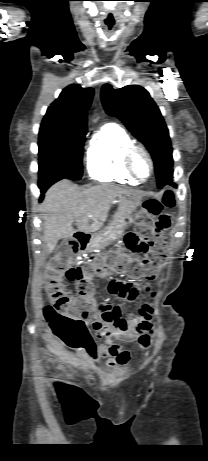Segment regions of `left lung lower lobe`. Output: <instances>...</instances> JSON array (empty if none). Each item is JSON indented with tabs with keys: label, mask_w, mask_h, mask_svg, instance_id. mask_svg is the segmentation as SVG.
Segmentation results:
<instances>
[{
	"label": "left lung lower lobe",
	"mask_w": 208,
	"mask_h": 461,
	"mask_svg": "<svg viewBox=\"0 0 208 461\" xmlns=\"http://www.w3.org/2000/svg\"><path fill=\"white\" fill-rule=\"evenodd\" d=\"M170 182H171V181H170ZM170 182H167L166 184H168V183H170ZM166 184H165V185H166ZM171 185L176 186L175 184H171ZM162 187H163V186H162ZM162 187H159V188H162Z\"/></svg>",
	"instance_id": "1"
}]
</instances>
